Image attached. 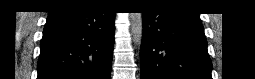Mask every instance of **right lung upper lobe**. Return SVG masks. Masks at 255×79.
Instances as JSON below:
<instances>
[{"mask_svg":"<svg viewBox=\"0 0 255 79\" xmlns=\"http://www.w3.org/2000/svg\"><path fill=\"white\" fill-rule=\"evenodd\" d=\"M83 2H87V1H83V0H60V1L57 2L55 8L65 7V6H69V5H77V4H81Z\"/></svg>","mask_w":255,"mask_h":79,"instance_id":"right-lung-upper-lobe-1","label":"right lung upper lobe"}]
</instances>
